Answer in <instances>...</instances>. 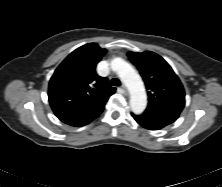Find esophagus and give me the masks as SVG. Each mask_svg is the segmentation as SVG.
I'll list each match as a JSON object with an SVG mask.
<instances>
[{
    "label": "esophagus",
    "instance_id": "34e87169",
    "mask_svg": "<svg viewBox=\"0 0 222 187\" xmlns=\"http://www.w3.org/2000/svg\"><path fill=\"white\" fill-rule=\"evenodd\" d=\"M120 89L122 90L123 94H127L128 93V90H127V88H126V86L124 84L121 85Z\"/></svg>",
    "mask_w": 222,
    "mask_h": 187
}]
</instances>
